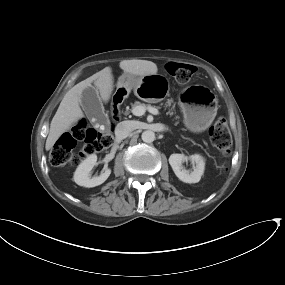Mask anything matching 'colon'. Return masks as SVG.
Masks as SVG:
<instances>
[{
	"label": "colon",
	"instance_id": "obj_1",
	"mask_svg": "<svg viewBox=\"0 0 285 285\" xmlns=\"http://www.w3.org/2000/svg\"><path fill=\"white\" fill-rule=\"evenodd\" d=\"M166 69L171 77L180 82L189 81L195 72L194 66L174 61L169 62ZM209 137L213 146L222 154L228 155L230 153L232 139L227 121L224 118L217 119L210 127ZM111 140L109 134L91 130L86 122L81 120L58 139L51 151L50 163L55 167L77 165L81 161L80 150L83 154H92L106 148L110 145Z\"/></svg>",
	"mask_w": 285,
	"mask_h": 285
}]
</instances>
